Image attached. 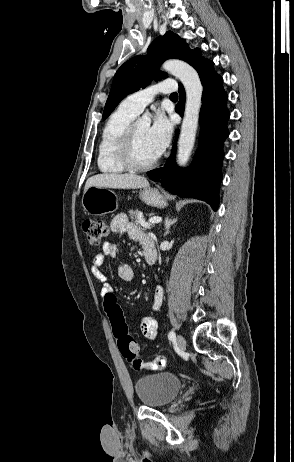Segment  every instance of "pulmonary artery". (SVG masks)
<instances>
[{
    "label": "pulmonary artery",
    "instance_id": "pulmonary-artery-1",
    "mask_svg": "<svg viewBox=\"0 0 294 462\" xmlns=\"http://www.w3.org/2000/svg\"><path fill=\"white\" fill-rule=\"evenodd\" d=\"M176 91V86L172 79H165L159 83L153 84L147 88L136 91L128 95L122 105L138 115L142 110L150 104L158 94H170Z\"/></svg>",
    "mask_w": 294,
    "mask_h": 462
}]
</instances>
